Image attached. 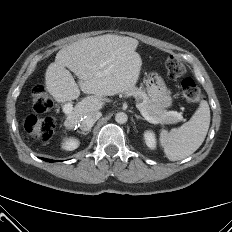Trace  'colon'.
Returning <instances> with one entry per match:
<instances>
[{"mask_svg": "<svg viewBox=\"0 0 232 232\" xmlns=\"http://www.w3.org/2000/svg\"><path fill=\"white\" fill-rule=\"evenodd\" d=\"M165 68L169 78L181 80L182 97L189 103H198L203 98L200 87L191 78H184L186 66L174 56H170L165 61ZM31 100L35 113L26 117L24 122L25 130L39 141H49L52 137L55 123L52 118L40 117L53 107V100L47 93L43 85H36L31 91Z\"/></svg>", "mask_w": 232, "mask_h": 232, "instance_id": "colon-1", "label": "colon"}]
</instances>
